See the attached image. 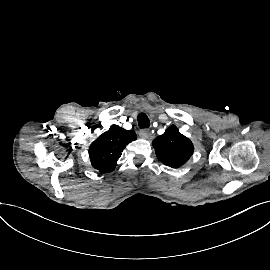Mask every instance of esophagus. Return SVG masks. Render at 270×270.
Instances as JSON below:
<instances>
[{
    "mask_svg": "<svg viewBox=\"0 0 270 270\" xmlns=\"http://www.w3.org/2000/svg\"><path fill=\"white\" fill-rule=\"evenodd\" d=\"M139 135L141 138L149 139L151 137V132L148 129H142L139 131Z\"/></svg>",
    "mask_w": 270,
    "mask_h": 270,
    "instance_id": "1",
    "label": "esophagus"
}]
</instances>
